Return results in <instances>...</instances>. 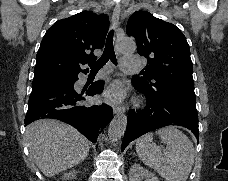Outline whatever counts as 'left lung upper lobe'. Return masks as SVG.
<instances>
[{
	"instance_id": "1",
	"label": "left lung upper lobe",
	"mask_w": 228,
	"mask_h": 181,
	"mask_svg": "<svg viewBox=\"0 0 228 181\" xmlns=\"http://www.w3.org/2000/svg\"><path fill=\"white\" fill-rule=\"evenodd\" d=\"M127 34L136 39L138 54L148 61L143 71L133 75L132 83L195 99L190 49L178 27L137 11L128 20Z\"/></svg>"
}]
</instances>
